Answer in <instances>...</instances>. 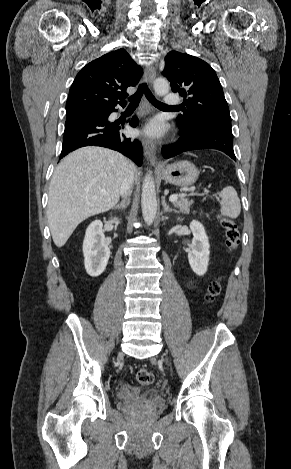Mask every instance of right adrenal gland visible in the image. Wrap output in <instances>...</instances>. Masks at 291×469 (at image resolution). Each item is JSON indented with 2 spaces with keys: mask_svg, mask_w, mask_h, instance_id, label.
I'll list each match as a JSON object with an SVG mask.
<instances>
[{
  "mask_svg": "<svg viewBox=\"0 0 291 469\" xmlns=\"http://www.w3.org/2000/svg\"><path fill=\"white\" fill-rule=\"evenodd\" d=\"M130 204V198H127L125 200H123L122 202H120L119 204H117L114 208L115 209H125L127 208V206Z\"/></svg>",
  "mask_w": 291,
  "mask_h": 469,
  "instance_id": "1",
  "label": "right adrenal gland"
}]
</instances>
